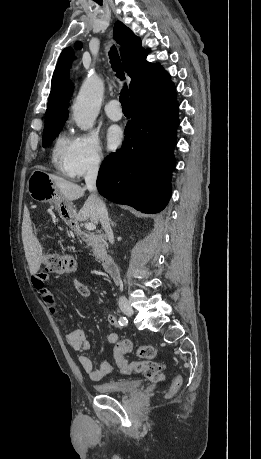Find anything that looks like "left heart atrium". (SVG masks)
Returning <instances> with one entry per match:
<instances>
[{"mask_svg":"<svg viewBox=\"0 0 261 459\" xmlns=\"http://www.w3.org/2000/svg\"><path fill=\"white\" fill-rule=\"evenodd\" d=\"M122 141V131L117 126H110L106 132V144L109 150L116 149Z\"/></svg>","mask_w":261,"mask_h":459,"instance_id":"left-heart-atrium-1","label":"left heart atrium"}]
</instances>
